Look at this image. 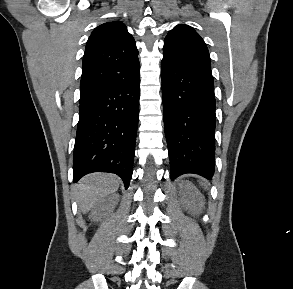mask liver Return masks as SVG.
Masks as SVG:
<instances>
[{"mask_svg":"<svg viewBox=\"0 0 293 289\" xmlns=\"http://www.w3.org/2000/svg\"><path fill=\"white\" fill-rule=\"evenodd\" d=\"M120 179L113 174L93 173L82 178L75 186V198L83 213H87L99 200L117 191Z\"/></svg>","mask_w":293,"mask_h":289,"instance_id":"obj_1","label":"liver"}]
</instances>
